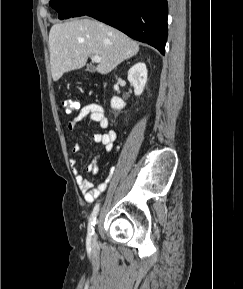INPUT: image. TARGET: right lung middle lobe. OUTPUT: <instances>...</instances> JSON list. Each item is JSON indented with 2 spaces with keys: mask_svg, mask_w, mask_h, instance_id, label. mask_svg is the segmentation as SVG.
<instances>
[{
  "mask_svg": "<svg viewBox=\"0 0 243 289\" xmlns=\"http://www.w3.org/2000/svg\"><path fill=\"white\" fill-rule=\"evenodd\" d=\"M87 1L88 0H50V5L58 11L59 19H67Z\"/></svg>",
  "mask_w": 243,
  "mask_h": 289,
  "instance_id": "dd1d6c3e",
  "label": "right lung middle lobe"
}]
</instances>
